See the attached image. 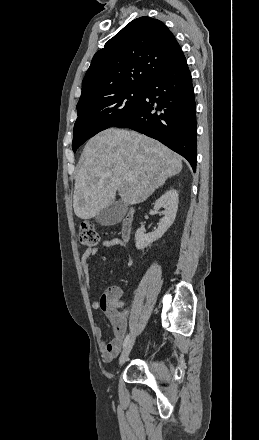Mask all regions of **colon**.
Instances as JSON below:
<instances>
[{
  "label": "colon",
  "instance_id": "5ec220e1",
  "mask_svg": "<svg viewBox=\"0 0 259 440\" xmlns=\"http://www.w3.org/2000/svg\"><path fill=\"white\" fill-rule=\"evenodd\" d=\"M79 242L84 247H94L99 244L100 236L95 226L89 222H83L79 229Z\"/></svg>",
  "mask_w": 259,
  "mask_h": 440
}]
</instances>
